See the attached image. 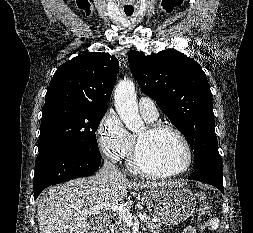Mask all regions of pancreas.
Returning <instances> with one entry per match:
<instances>
[{"mask_svg": "<svg viewBox=\"0 0 253 233\" xmlns=\"http://www.w3.org/2000/svg\"><path fill=\"white\" fill-rule=\"evenodd\" d=\"M144 215H146L144 213ZM148 221L146 223V228L149 229L152 233H162V225L154 220L151 219L150 216H147ZM113 233H131L128 224L119 218L115 221L114 225L112 226Z\"/></svg>", "mask_w": 253, "mask_h": 233, "instance_id": "pancreas-1", "label": "pancreas"}]
</instances>
